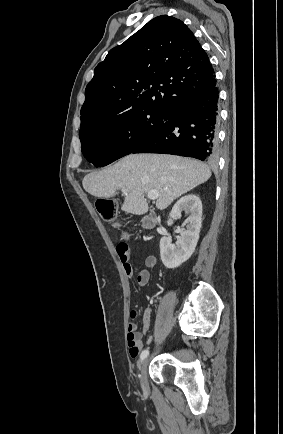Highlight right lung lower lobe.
<instances>
[{
  "mask_svg": "<svg viewBox=\"0 0 283 434\" xmlns=\"http://www.w3.org/2000/svg\"><path fill=\"white\" fill-rule=\"evenodd\" d=\"M219 120L216 86L167 111V119L131 153H163L214 162Z\"/></svg>",
  "mask_w": 283,
  "mask_h": 434,
  "instance_id": "98d812e1",
  "label": "right lung lower lobe"
}]
</instances>
